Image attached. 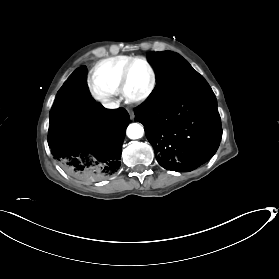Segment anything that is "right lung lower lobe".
Listing matches in <instances>:
<instances>
[{
	"mask_svg": "<svg viewBox=\"0 0 279 279\" xmlns=\"http://www.w3.org/2000/svg\"><path fill=\"white\" fill-rule=\"evenodd\" d=\"M86 67L76 69L58 91L50 113L48 144L71 176L98 181L115 173L129 115L105 109L86 84Z\"/></svg>",
	"mask_w": 279,
	"mask_h": 279,
	"instance_id": "98d812e1",
	"label": "right lung lower lobe"
}]
</instances>
